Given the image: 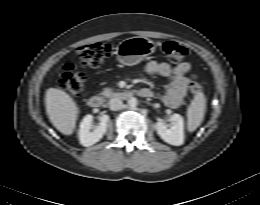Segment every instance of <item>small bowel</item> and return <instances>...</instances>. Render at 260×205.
Returning a JSON list of instances; mask_svg holds the SVG:
<instances>
[{"label":"small bowel","mask_w":260,"mask_h":205,"mask_svg":"<svg viewBox=\"0 0 260 205\" xmlns=\"http://www.w3.org/2000/svg\"><path fill=\"white\" fill-rule=\"evenodd\" d=\"M145 69L149 75H157L167 80V89L161 100L169 108H178L186 96L190 82L195 78L191 65L183 62L172 67L167 62L150 61ZM141 96L152 97L154 93L148 88H143Z\"/></svg>","instance_id":"1"}]
</instances>
